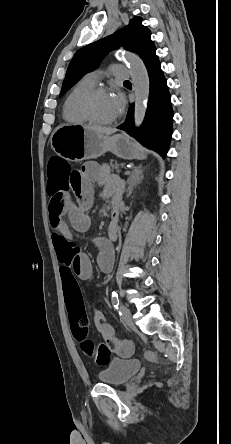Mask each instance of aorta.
<instances>
[{
    "label": "aorta",
    "instance_id": "aorta-1",
    "mask_svg": "<svg viewBox=\"0 0 231 444\" xmlns=\"http://www.w3.org/2000/svg\"><path fill=\"white\" fill-rule=\"evenodd\" d=\"M122 57L130 68L135 93L134 122L138 127L142 124L147 110V101L150 92L149 76L140 57L133 53H125Z\"/></svg>",
    "mask_w": 231,
    "mask_h": 444
}]
</instances>
